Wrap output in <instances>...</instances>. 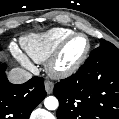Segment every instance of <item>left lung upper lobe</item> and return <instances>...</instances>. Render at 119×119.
Listing matches in <instances>:
<instances>
[{
    "label": "left lung upper lobe",
    "mask_w": 119,
    "mask_h": 119,
    "mask_svg": "<svg viewBox=\"0 0 119 119\" xmlns=\"http://www.w3.org/2000/svg\"><path fill=\"white\" fill-rule=\"evenodd\" d=\"M105 42V40L101 39L100 40V45L103 44Z\"/></svg>",
    "instance_id": "5c2ea615"
}]
</instances>
